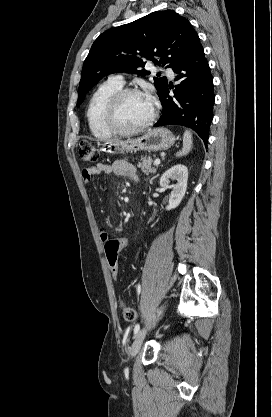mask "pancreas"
<instances>
[{
  "label": "pancreas",
  "mask_w": 272,
  "mask_h": 417,
  "mask_svg": "<svg viewBox=\"0 0 272 417\" xmlns=\"http://www.w3.org/2000/svg\"><path fill=\"white\" fill-rule=\"evenodd\" d=\"M152 159L150 157L141 158V162L138 163V167L141 168V171L145 174L155 173L156 168L152 167Z\"/></svg>",
  "instance_id": "cf45deb5"
}]
</instances>
